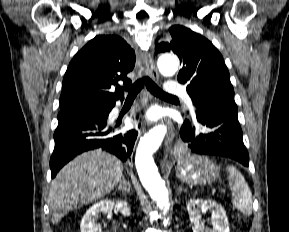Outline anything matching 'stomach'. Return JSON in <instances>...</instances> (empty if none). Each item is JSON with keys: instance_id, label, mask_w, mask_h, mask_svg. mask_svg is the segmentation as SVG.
Masks as SVG:
<instances>
[{"instance_id": "obj_1", "label": "stomach", "mask_w": 289, "mask_h": 232, "mask_svg": "<svg viewBox=\"0 0 289 232\" xmlns=\"http://www.w3.org/2000/svg\"><path fill=\"white\" fill-rule=\"evenodd\" d=\"M176 175L182 182L202 185L211 183L219 176V167L207 158H192L188 163L177 166Z\"/></svg>"}]
</instances>
